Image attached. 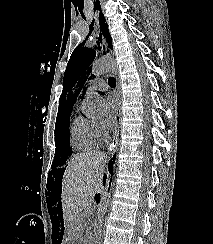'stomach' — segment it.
Returning <instances> with one entry per match:
<instances>
[{
    "mask_svg": "<svg viewBox=\"0 0 213 244\" xmlns=\"http://www.w3.org/2000/svg\"><path fill=\"white\" fill-rule=\"evenodd\" d=\"M66 234L62 239V244H73V239H78L79 229H77V221H65Z\"/></svg>",
    "mask_w": 213,
    "mask_h": 244,
    "instance_id": "0dacf381",
    "label": "stomach"
}]
</instances>
